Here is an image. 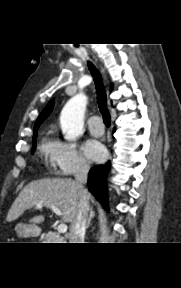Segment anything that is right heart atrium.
Returning <instances> with one entry per match:
<instances>
[{"label":"right heart atrium","mask_w":181,"mask_h":288,"mask_svg":"<svg viewBox=\"0 0 181 288\" xmlns=\"http://www.w3.org/2000/svg\"><path fill=\"white\" fill-rule=\"evenodd\" d=\"M44 151L51 169L58 175L69 176L85 172L89 168L87 160L72 141L50 140L45 144Z\"/></svg>","instance_id":"1"}]
</instances>
